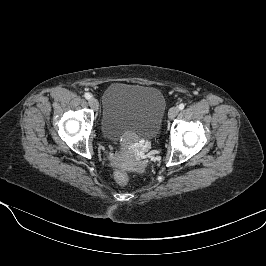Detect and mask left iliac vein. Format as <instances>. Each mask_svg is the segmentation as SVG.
Listing matches in <instances>:
<instances>
[{
    "label": "left iliac vein",
    "mask_w": 266,
    "mask_h": 266,
    "mask_svg": "<svg viewBox=\"0 0 266 266\" xmlns=\"http://www.w3.org/2000/svg\"><path fill=\"white\" fill-rule=\"evenodd\" d=\"M178 112H179V108L178 107L170 108V110L168 112L169 119H174L177 116Z\"/></svg>",
    "instance_id": "obj_1"
}]
</instances>
